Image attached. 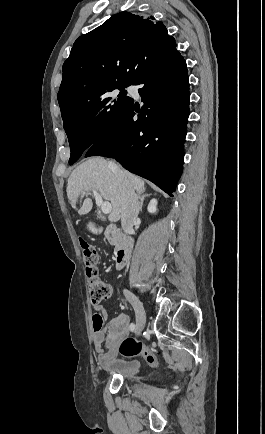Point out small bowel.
I'll list each match as a JSON object with an SVG mask.
<instances>
[{
  "label": "small bowel",
  "mask_w": 265,
  "mask_h": 434,
  "mask_svg": "<svg viewBox=\"0 0 265 434\" xmlns=\"http://www.w3.org/2000/svg\"><path fill=\"white\" fill-rule=\"evenodd\" d=\"M94 310L104 318H107V311L100 304H96ZM128 326V316L125 314H119L108 320L100 331L93 333L92 341L95 350L99 353L97 362L100 365L112 364L113 359L110 355L115 354V347L127 336ZM104 349L108 352H105Z\"/></svg>",
  "instance_id": "c3829d8e"
}]
</instances>
